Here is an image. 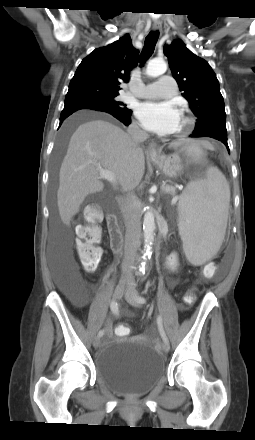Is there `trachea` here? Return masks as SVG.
Returning a JSON list of instances; mask_svg holds the SVG:
<instances>
[{"label": "trachea", "mask_w": 255, "mask_h": 440, "mask_svg": "<svg viewBox=\"0 0 255 440\" xmlns=\"http://www.w3.org/2000/svg\"><path fill=\"white\" fill-rule=\"evenodd\" d=\"M158 37H159L158 31H152L146 37L140 57L142 64L145 63L153 54Z\"/></svg>", "instance_id": "1"}]
</instances>
